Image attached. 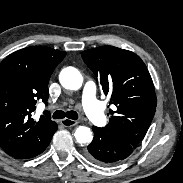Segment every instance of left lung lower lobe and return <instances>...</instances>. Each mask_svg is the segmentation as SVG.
Masks as SVG:
<instances>
[{"label":"left lung lower lobe","instance_id":"left-lung-lower-lobe-1","mask_svg":"<svg viewBox=\"0 0 183 183\" xmlns=\"http://www.w3.org/2000/svg\"><path fill=\"white\" fill-rule=\"evenodd\" d=\"M94 139L85 154L93 162L108 165L127 158L135 146L107 133L103 128L92 127Z\"/></svg>","mask_w":183,"mask_h":183}]
</instances>
